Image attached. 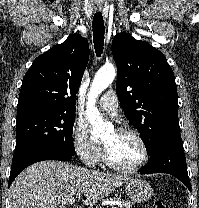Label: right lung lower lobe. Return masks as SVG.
<instances>
[{"instance_id":"98d812e1","label":"right lung lower lobe","mask_w":199,"mask_h":208,"mask_svg":"<svg viewBox=\"0 0 199 208\" xmlns=\"http://www.w3.org/2000/svg\"><path fill=\"white\" fill-rule=\"evenodd\" d=\"M72 155L64 153L57 148H41L33 149L23 153L17 159L12 160L11 172L9 177L8 186L11 185L16 176L29 165L43 161V160H60L69 161Z\"/></svg>"}]
</instances>
